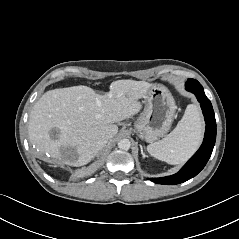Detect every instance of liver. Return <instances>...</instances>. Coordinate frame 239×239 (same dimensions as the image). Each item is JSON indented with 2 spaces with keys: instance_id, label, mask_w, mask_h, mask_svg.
Here are the masks:
<instances>
[{
  "instance_id": "liver-1",
  "label": "liver",
  "mask_w": 239,
  "mask_h": 239,
  "mask_svg": "<svg viewBox=\"0 0 239 239\" xmlns=\"http://www.w3.org/2000/svg\"><path fill=\"white\" fill-rule=\"evenodd\" d=\"M152 86L145 81L117 80L105 94L83 85L49 90L31 110L30 143L50 163L86 165L98 153L99 140L116 136L118 126L114 123L140 111L138 99L145 98ZM54 129L58 135L52 138L50 133ZM67 148L75 149L76 159L64 157Z\"/></svg>"
}]
</instances>
